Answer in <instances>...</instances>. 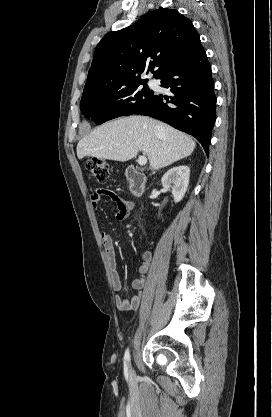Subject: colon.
Instances as JSON below:
<instances>
[{
	"mask_svg": "<svg viewBox=\"0 0 272 417\" xmlns=\"http://www.w3.org/2000/svg\"><path fill=\"white\" fill-rule=\"evenodd\" d=\"M88 172L98 181L107 182L109 180V165L100 158H91L86 162Z\"/></svg>",
	"mask_w": 272,
	"mask_h": 417,
	"instance_id": "5ec220e1",
	"label": "colon"
}]
</instances>
